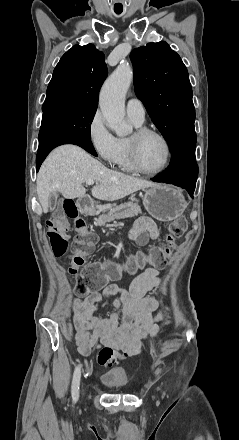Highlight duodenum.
<instances>
[{
	"label": "duodenum",
	"mask_w": 239,
	"mask_h": 440,
	"mask_svg": "<svg viewBox=\"0 0 239 440\" xmlns=\"http://www.w3.org/2000/svg\"><path fill=\"white\" fill-rule=\"evenodd\" d=\"M78 207L79 210L84 213L88 214L91 211V200L88 196H82L78 199Z\"/></svg>",
	"instance_id": "duodenum-1"
}]
</instances>
